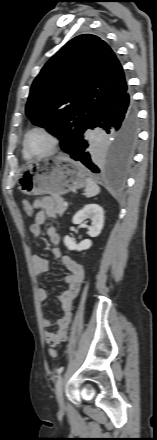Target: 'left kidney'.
Masks as SVG:
<instances>
[{
    "label": "left kidney",
    "mask_w": 157,
    "mask_h": 440,
    "mask_svg": "<svg viewBox=\"0 0 157 440\" xmlns=\"http://www.w3.org/2000/svg\"><path fill=\"white\" fill-rule=\"evenodd\" d=\"M86 219H91L92 221L91 226L88 228V235L90 237H97L101 233L104 225V212L102 207L97 204L85 205L82 210L74 215L72 223L82 224ZM64 245L68 250L83 251L92 246V241L90 239H85L77 244L73 238L65 236Z\"/></svg>",
    "instance_id": "obj_1"
}]
</instances>
